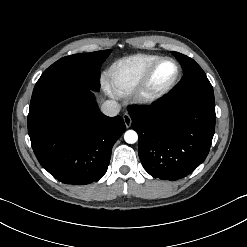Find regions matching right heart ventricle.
Returning a JSON list of instances; mask_svg holds the SVG:
<instances>
[{
    "mask_svg": "<svg viewBox=\"0 0 247 247\" xmlns=\"http://www.w3.org/2000/svg\"><path fill=\"white\" fill-rule=\"evenodd\" d=\"M160 57L155 54H135L115 61L107 73L111 86L118 94L131 93L150 65Z\"/></svg>",
    "mask_w": 247,
    "mask_h": 247,
    "instance_id": "1",
    "label": "right heart ventricle"
}]
</instances>
